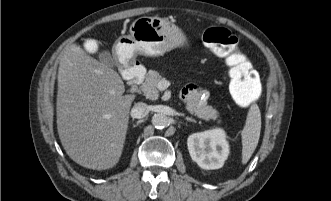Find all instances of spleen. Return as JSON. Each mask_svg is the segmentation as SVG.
<instances>
[{"label": "spleen", "mask_w": 331, "mask_h": 201, "mask_svg": "<svg viewBox=\"0 0 331 201\" xmlns=\"http://www.w3.org/2000/svg\"><path fill=\"white\" fill-rule=\"evenodd\" d=\"M261 131V113L259 107L253 104L247 114L242 130V163L246 164L254 153Z\"/></svg>", "instance_id": "3e777b00"}]
</instances>
